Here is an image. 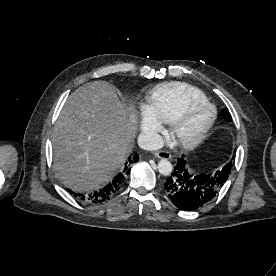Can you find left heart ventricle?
Returning a JSON list of instances; mask_svg holds the SVG:
<instances>
[{"instance_id":"1","label":"left heart ventricle","mask_w":276,"mask_h":276,"mask_svg":"<svg viewBox=\"0 0 276 276\" xmlns=\"http://www.w3.org/2000/svg\"><path fill=\"white\" fill-rule=\"evenodd\" d=\"M212 116V109L207 105H199L189 113L181 133L184 136H192L200 132L209 122Z\"/></svg>"}]
</instances>
